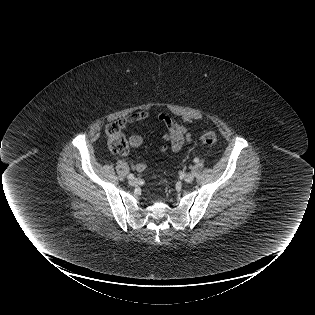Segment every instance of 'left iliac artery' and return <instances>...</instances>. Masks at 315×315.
I'll return each instance as SVG.
<instances>
[{
  "instance_id": "obj_1",
  "label": "left iliac artery",
  "mask_w": 315,
  "mask_h": 315,
  "mask_svg": "<svg viewBox=\"0 0 315 315\" xmlns=\"http://www.w3.org/2000/svg\"><path fill=\"white\" fill-rule=\"evenodd\" d=\"M198 161H199V159H198V158H195V159H194V162H198Z\"/></svg>"
}]
</instances>
